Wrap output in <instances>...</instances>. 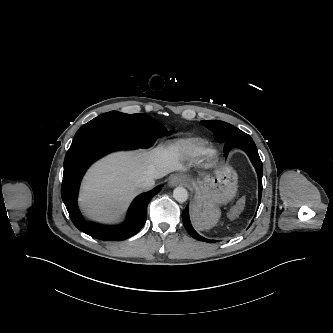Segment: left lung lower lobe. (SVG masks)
Wrapping results in <instances>:
<instances>
[{
    "mask_svg": "<svg viewBox=\"0 0 333 333\" xmlns=\"http://www.w3.org/2000/svg\"><path fill=\"white\" fill-rule=\"evenodd\" d=\"M231 148H240L244 150L247 155L249 156L253 166L256 169L258 180H259V205L261 202V194H262V174H263V166L262 162L260 160L257 148L255 143L253 142L252 138L244 133L243 131H238L236 134H234L227 142L224 143V153L225 155L228 154V151ZM189 207L188 205L182 212V220L185 229L187 232L195 239L201 240L204 242H215V240H209L202 236H200L192 227L190 220H189Z\"/></svg>",
    "mask_w": 333,
    "mask_h": 333,
    "instance_id": "obj_1",
    "label": "left lung lower lobe"
}]
</instances>
